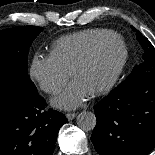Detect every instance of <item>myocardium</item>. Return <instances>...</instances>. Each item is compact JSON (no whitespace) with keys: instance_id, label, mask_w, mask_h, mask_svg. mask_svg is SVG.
I'll return each mask as SVG.
<instances>
[{"instance_id":"1","label":"myocardium","mask_w":155,"mask_h":155,"mask_svg":"<svg viewBox=\"0 0 155 155\" xmlns=\"http://www.w3.org/2000/svg\"><path fill=\"white\" fill-rule=\"evenodd\" d=\"M115 40L122 43L123 50H124L122 60L120 61L119 66H118L117 70L115 71L114 75L112 76V78L104 86H102L98 90L92 92L91 95H93V96H99V95L109 92L116 85L118 80L120 79V77L126 67V64L128 62V58H129V47H128V44L126 43L125 39L118 33H113L112 35H109V36L101 39L86 54V56L76 65V67L74 68V70L72 72L73 78L76 80L77 76L87 66H89L94 61V59L97 57V55L99 54L101 49L109 42L115 41Z\"/></svg>"}]
</instances>
